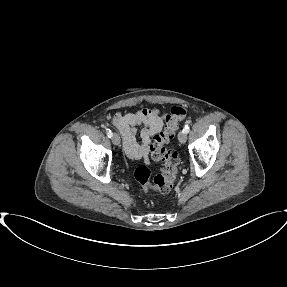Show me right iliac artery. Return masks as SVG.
Here are the masks:
<instances>
[{
    "instance_id": "obj_1",
    "label": "right iliac artery",
    "mask_w": 287,
    "mask_h": 287,
    "mask_svg": "<svg viewBox=\"0 0 287 287\" xmlns=\"http://www.w3.org/2000/svg\"><path fill=\"white\" fill-rule=\"evenodd\" d=\"M106 134L109 138H111L113 135L110 129H106Z\"/></svg>"
}]
</instances>
